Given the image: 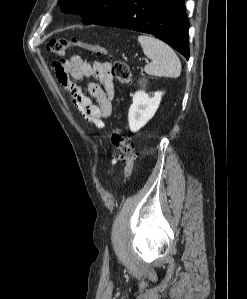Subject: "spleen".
<instances>
[{"label":"spleen","mask_w":247,"mask_h":299,"mask_svg":"<svg viewBox=\"0 0 247 299\" xmlns=\"http://www.w3.org/2000/svg\"><path fill=\"white\" fill-rule=\"evenodd\" d=\"M144 54L151 62L144 67L148 75L177 78L181 73V62L173 49L163 41L147 35L138 37Z\"/></svg>","instance_id":"spleen-1"}]
</instances>
